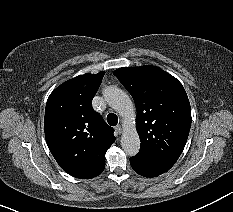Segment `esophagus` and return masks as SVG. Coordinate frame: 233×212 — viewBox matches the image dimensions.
<instances>
[{"mask_svg":"<svg viewBox=\"0 0 233 212\" xmlns=\"http://www.w3.org/2000/svg\"><path fill=\"white\" fill-rule=\"evenodd\" d=\"M115 130H116L119 134H121L122 131H123V128H122L121 125H117V126L115 127Z\"/></svg>","mask_w":233,"mask_h":212,"instance_id":"34e87169","label":"esophagus"}]
</instances>
